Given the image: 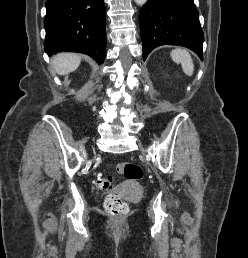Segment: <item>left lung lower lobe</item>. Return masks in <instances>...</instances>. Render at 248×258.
Instances as JSON below:
<instances>
[{
  "label": "left lung lower lobe",
  "mask_w": 248,
  "mask_h": 258,
  "mask_svg": "<svg viewBox=\"0 0 248 258\" xmlns=\"http://www.w3.org/2000/svg\"><path fill=\"white\" fill-rule=\"evenodd\" d=\"M143 59L161 45H179L203 60L204 35L193 0H148L139 13Z\"/></svg>",
  "instance_id": "obj_1"
}]
</instances>
